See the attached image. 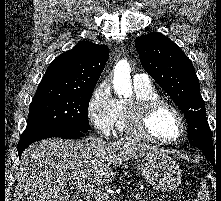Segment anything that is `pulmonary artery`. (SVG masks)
Segmentation results:
<instances>
[{
  "label": "pulmonary artery",
  "instance_id": "pulmonary-artery-1",
  "mask_svg": "<svg viewBox=\"0 0 221 201\" xmlns=\"http://www.w3.org/2000/svg\"><path fill=\"white\" fill-rule=\"evenodd\" d=\"M133 83L134 85H149L150 79L147 74L144 73L135 74L133 77Z\"/></svg>",
  "mask_w": 221,
  "mask_h": 201
}]
</instances>
